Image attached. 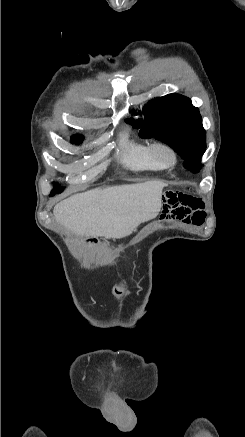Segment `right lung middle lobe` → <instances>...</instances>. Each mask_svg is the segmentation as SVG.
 Here are the masks:
<instances>
[{
  "label": "right lung middle lobe",
  "mask_w": 245,
  "mask_h": 437,
  "mask_svg": "<svg viewBox=\"0 0 245 437\" xmlns=\"http://www.w3.org/2000/svg\"><path fill=\"white\" fill-rule=\"evenodd\" d=\"M83 139L84 138L81 135H74L71 138V142L74 143V144H78V143L82 142ZM55 189L58 190V191L61 190V188L58 187V186H56Z\"/></svg>",
  "instance_id": "right-lung-middle-lobe-1"
}]
</instances>
